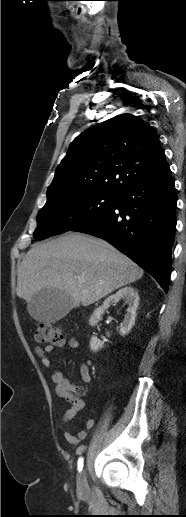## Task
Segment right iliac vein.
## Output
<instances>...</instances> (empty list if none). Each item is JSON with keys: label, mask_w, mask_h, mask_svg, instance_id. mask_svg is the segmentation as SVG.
Instances as JSON below:
<instances>
[{"label": "right iliac vein", "mask_w": 186, "mask_h": 517, "mask_svg": "<svg viewBox=\"0 0 186 517\" xmlns=\"http://www.w3.org/2000/svg\"><path fill=\"white\" fill-rule=\"evenodd\" d=\"M87 489V481H86V476H85V472L82 471L79 476H78V479H77V490L80 492V493H85Z\"/></svg>", "instance_id": "obj_1"}]
</instances>
